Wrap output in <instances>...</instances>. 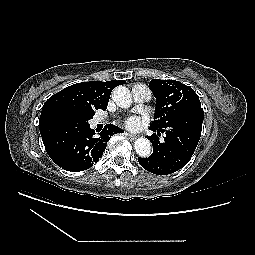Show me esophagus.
Returning <instances> with one entry per match:
<instances>
[{
	"label": "esophagus",
	"mask_w": 255,
	"mask_h": 255,
	"mask_svg": "<svg viewBox=\"0 0 255 255\" xmlns=\"http://www.w3.org/2000/svg\"><path fill=\"white\" fill-rule=\"evenodd\" d=\"M125 135L128 136L131 140H134L136 138V135H134L130 132H125Z\"/></svg>",
	"instance_id": "1"
}]
</instances>
